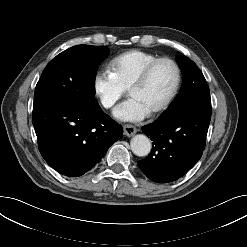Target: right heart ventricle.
Segmentation results:
<instances>
[{"label": "right heart ventricle", "instance_id": "right-heart-ventricle-1", "mask_svg": "<svg viewBox=\"0 0 247 247\" xmlns=\"http://www.w3.org/2000/svg\"><path fill=\"white\" fill-rule=\"evenodd\" d=\"M157 58L145 51L131 50L115 57L109 64V70L113 79L127 90L145 66Z\"/></svg>", "mask_w": 247, "mask_h": 247}]
</instances>
